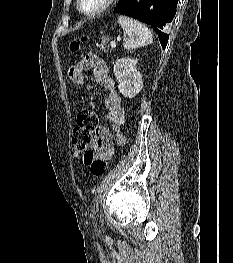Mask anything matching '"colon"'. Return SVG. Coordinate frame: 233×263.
I'll list each match as a JSON object with an SVG mask.
<instances>
[{
    "label": "colon",
    "mask_w": 233,
    "mask_h": 263,
    "mask_svg": "<svg viewBox=\"0 0 233 263\" xmlns=\"http://www.w3.org/2000/svg\"><path fill=\"white\" fill-rule=\"evenodd\" d=\"M80 44L76 41L72 42L70 49L77 52ZM98 116L95 112L84 109L77 115L76 126L73 130L72 145L76 153H83L84 162L90 166V172L95 177L102 176L108 166V160L94 159L91 153V143L98 130Z\"/></svg>",
    "instance_id": "1"
}]
</instances>
